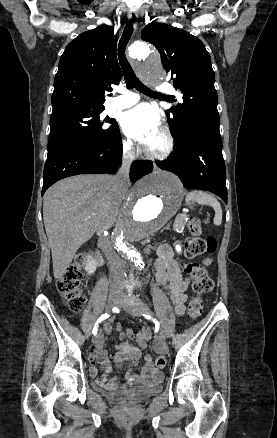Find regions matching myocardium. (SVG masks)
Instances as JSON below:
<instances>
[{"mask_svg":"<svg viewBox=\"0 0 277 438\" xmlns=\"http://www.w3.org/2000/svg\"><path fill=\"white\" fill-rule=\"evenodd\" d=\"M126 50H129L128 48ZM160 135L163 136L165 141L164 149L160 153H150L147 152V155L153 160H164L170 156L174 149V139L172 134L168 129L163 128L160 131Z\"/></svg>","mask_w":277,"mask_h":438,"instance_id":"f54148a6","label":"myocardium"}]
</instances>
